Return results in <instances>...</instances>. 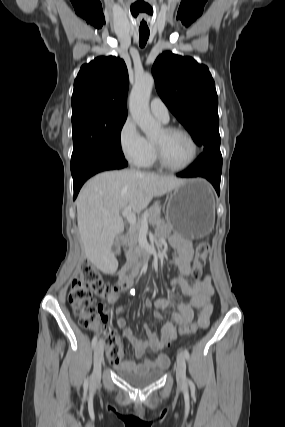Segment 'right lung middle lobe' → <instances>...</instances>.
<instances>
[{
    "mask_svg": "<svg viewBox=\"0 0 285 427\" xmlns=\"http://www.w3.org/2000/svg\"><path fill=\"white\" fill-rule=\"evenodd\" d=\"M127 116L85 114L72 117L73 153L71 170L86 157L103 153L124 158L120 134Z\"/></svg>",
    "mask_w": 285,
    "mask_h": 427,
    "instance_id": "1",
    "label": "right lung middle lobe"
}]
</instances>
